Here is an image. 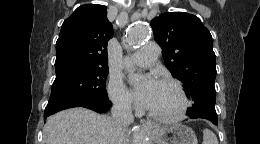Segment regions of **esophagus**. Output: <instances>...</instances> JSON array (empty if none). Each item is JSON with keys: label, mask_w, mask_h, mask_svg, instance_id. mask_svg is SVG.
I'll return each instance as SVG.
<instances>
[{"label": "esophagus", "mask_w": 260, "mask_h": 144, "mask_svg": "<svg viewBox=\"0 0 260 144\" xmlns=\"http://www.w3.org/2000/svg\"><path fill=\"white\" fill-rule=\"evenodd\" d=\"M144 128L147 129V130H153L154 126L150 122H145Z\"/></svg>", "instance_id": "obj_1"}]
</instances>
